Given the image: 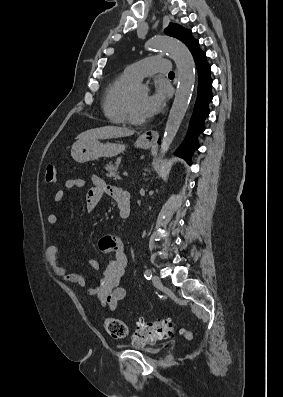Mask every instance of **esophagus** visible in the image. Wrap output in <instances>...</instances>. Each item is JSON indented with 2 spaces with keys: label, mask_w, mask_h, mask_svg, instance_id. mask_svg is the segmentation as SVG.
<instances>
[{
  "label": "esophagus",
  "mask_w": 283,
  "mask_h": 397,
  "mask_svg": "<svg viewBox=\"0 0 283 397\" xmlns=\"http://www.w3.org/2000/svg\"><path fill=\"white\" fill-rule=\"evenodd\" d=\"M141 138L146 142H156L158 139V133L154 130H147L142 134Z\"/></svg>",
  "instance_id": "34e87169"
}]
</instances>
